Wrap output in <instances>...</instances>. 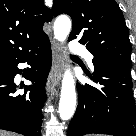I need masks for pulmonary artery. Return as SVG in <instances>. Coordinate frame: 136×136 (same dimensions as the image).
Returning a JSON list of instances; mask_svg holds the SVG:
<instances>
[{"mask_svg": "<svg viewBox=\"0 0 136 136\" xmlns=\"http://www.w3.org/2000/svg\"><path fill=\"white\" fill-rule=\"evenodd\" d=\"M69 48L72 52L82 54L92 66L93 55L80 43L73 41L70 43Z\"/></svg>", "mask_w": 136, "mask_h": 136, "instance_id": "1", "label": "pulmonary artery"}]
</instances>
